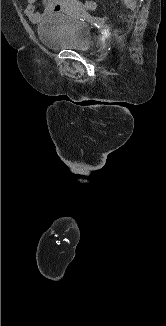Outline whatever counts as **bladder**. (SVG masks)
Returning <instances> with one entry per match:
<instances>
[{
	"mask_svg": "<svg viewBox=\"0 0 166 326\" xmlns=\"http://www.w3.org/2000/svg\"><path fill=\"white\" fill-rule=\"evenodd\" d=\"M37 32L41 43L47 49L85 52L91 47L89 26L79 17L65 13L48 14L39 21Z\"/></svg>",
	"mask_w": 166,
	"mask_h": 326,
	"instance_id": "31cf9c89",
	"label": "bladder"
}]
</instances>
